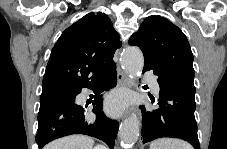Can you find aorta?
<instances>
[{
  "label": "aorta",
  "instance_id": "1",
  "mask_svg": "<svg viewBox=\"0 0 227 149\" xmlns=\"http://www.w3.org/2000/svg\"><path fill=\"white\" fill-rule=\"evenodd\" d=\"M121 63L129 78L135 79L142 72L144 66L141 50L135 47L126 48L122 53ZM119 136L121 144L125 148H130L136 143L139 136V120L136 115L124 120L119 130Z\"/></svg>",
  "mask_w": 227,
  "mask_h": 149
}]
</instances>
